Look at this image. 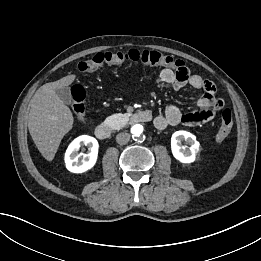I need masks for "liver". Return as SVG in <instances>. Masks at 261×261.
Listing matches in <instances>:
<instances>
[{
    "label": "liver",
    "mask_w": 261,
    "mask_h": 261,
    "mask_svg": "<svg viewBox=\"0 0 261 261\" xmlns=\"http://www.w3.org/2000/svg\"><path fill=\"white\" fill-rule=\"evenodd\" d=\"M76 75H67L41 86L29 102L28 129L42 156L52 161L62 138L72 129L71 110L57 96L56 89L71 85Z\"/></svg>",
    "instance_id": "1"
}]
</instances>
